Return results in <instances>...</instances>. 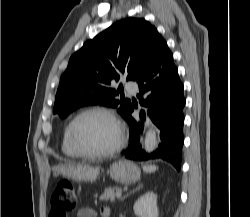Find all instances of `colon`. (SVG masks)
<instances>
[{
    "label": "colon",
    "instance_id": "obj_1",
    "mask_svg": "<svg viewBox=\"0 0 250 217\" xmlns=\"http://www.w3.org/2000/svg\"><path fill=\"white\" fill-rule=\"evenodd\" d=\"M76 205L77 196L73 185L66 180L60 181L53 189L49 217H68Z\"/></svg>",
    "mask_w": 250,
    "mask_h": 217
}]
</instances>
